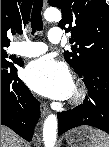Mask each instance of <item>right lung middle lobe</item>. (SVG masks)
<instances>
[{"mask_svg":"<svg viewBox=\"0 0 109 147\" xmlns=\"http://www.w3.org/2000/svg\"><path fill=\"white\" fill-rule=\"evenodd\" d=\"M6 58H7L6 51L4 48H1V64H9Z\"/></svg>","mask_w":109,"mask_h":147,"instance_id":"right-lung-middle-lobe-1","label":"right lung middle lobe"}]
</instances>
